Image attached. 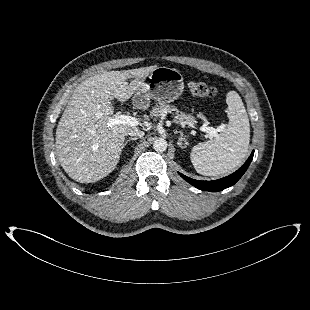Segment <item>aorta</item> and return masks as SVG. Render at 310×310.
Here are the masks:
<instances>
[{
    "mask_svg": "<svg viewBox=\"0 0 310 310\" xmlns=\"http://www.w3.org/2000/svg\"><path fill=\"white\" fill-rule=\"evenodd\" d=\"M153 148L157 152H163L167 149V141L163 138H158L154 141Z\"/></svg>",
    "mask_w": 310,
    "mask_h": 310,
    "instance_id": "obj_1",
    "label": "aorta"
}]
</instances>
